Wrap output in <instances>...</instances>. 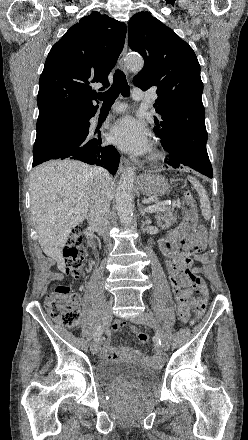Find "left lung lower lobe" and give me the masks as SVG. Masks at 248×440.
Instances as JSON below:
<instances>
[{
    "instance_id": "0a47b994",
    "label": "left lung lower lobe",
    "mask_w": 248,
    "mask_h": 440,
    "mask_svg": "<svg viewBox=\"0 0 248 440\" xmlns=\"http://www.w3.org/2000/svg\"><path fill=\"white\" fill-rule=\"evenodd\" d=\"M169 153L165 163L173 168H192L209 178L213 177L212 166L209 161L206 145L176 140L163 145Z\"/></svg>"
}]
</instances>
